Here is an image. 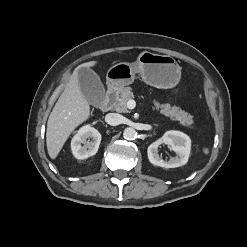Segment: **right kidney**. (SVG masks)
Masks as SVG:
<instances>
[{
    "label": "right kidney",
    "mask_w": 247,
    "mask_h": 247,
    "mask_svg": "<svg viewBox=\"0 0 247 247\" xmlns=\"http://www.w3.org/2000/svg\"><path fill=\"white\" fill-rule=\"evenodd\" d=\"M100 142L101 134L99 131L87 124L81 127L72 138L71 150L77 159H86L97 153Z\"/></svg>",
    "instance_id": "1"
}]
</instances>
